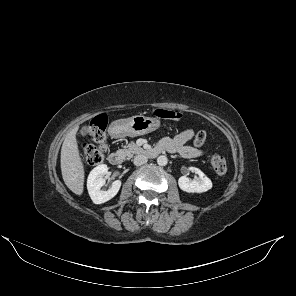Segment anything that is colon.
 Instances as JSON below:
<instances>
[{"instance_id": "obj_1", "label": "colon", "mask_w": 296, "mask_h": 296, "mask_svg": "<svg viewBox=\"0 0 296 296\" xmlns=\"http://www.w3.org/2000/svg\"><path fill=\"white\" fill-rule=\"evenodd\" d=\"M153 114L158 118L179 120L182 114L177 111L167 109H156ZM107 126V118L105 115L95 117L89 125V135L94 143H83L80 146L81 159L89 165H97L103 161L105 152L107 150L105 129ZM206 141V133L198 131L193 139L195 148H200ZM211 165L219 176L227 173V163L224 157L220 155H213L210 159Z\"/></svg>"}]
</instances>
